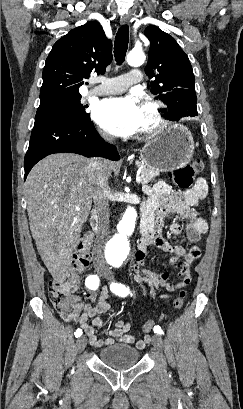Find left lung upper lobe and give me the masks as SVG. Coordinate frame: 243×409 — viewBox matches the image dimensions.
<instances>
[{"mask_svg":"<svg viewBox=\"0 0 243 409\" xmlns=\"http://www.w3.org/2000/svg\"><path fill=\"white\" fill-rule=\"evenodd\" d=\"M144 34L150 41L145 72L151 93L168 106L165 117L173 120L178 113H197L195 78L188 56L175 39L157 26H148Z\"/></svg>","mask_w":243,"mask_h":409,"instance_id":"1","label":"left lung upper lobe"}]
</instances>
